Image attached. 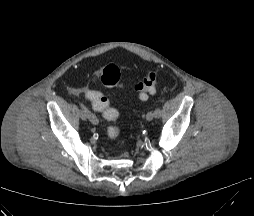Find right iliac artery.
I'll return each instance as SVG.
<instances>
[{
  "mask_svg": "<svg viewBox=\"0 0 254 216\" xmlns=\"http://www.w3.org/2000/svg\"><path fill=\"white\" fill-rule=\"evenodd\" d=\"M78 104L80 108L86 112L90 122H92L93 124L99 123V119L82 102H79Z\"/></svg>",
  "mask_w": 254,
  "mask_h": 216,
  "instance_id": "1",
  "label": "right iliac artery"
}]
</instances>
